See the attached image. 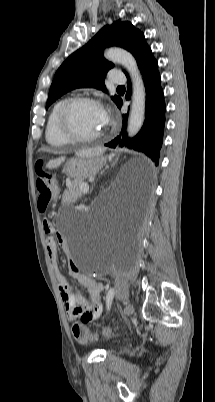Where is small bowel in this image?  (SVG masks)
<instances>
[{
    "instance_id": "obj_1",
    "label": "small bowel",
    "mask_w": 215,
    "mask_h": 402,
    "mask_svg": "<svg viewBox=\"0 0 215 402\" xmlns=\"http://www.w3.org/2000/svg\"><path fill=\"white\" fill-rule=\"evenodd\" d=\"M43 228L48 234H56L55 237L52 235L47 237L46 248L68 319L70 321H84V323L98 319L103 311L101 294L104 290V284L82 274L74 264H71L69 274L87 290L89 300L87 301L82 296L75 294L66 276L62 274L58 266V246L66 250L67 243L63 236L56 232L50 221L43 222ZM88 312H90V315L84 320Z\"/></svg>"
}]
</instances>
